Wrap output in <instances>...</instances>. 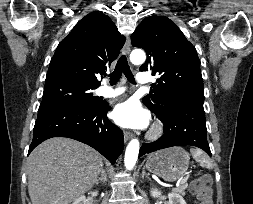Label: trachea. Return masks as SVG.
Segmentation results:
<instances>
[{
    "label": "trachea",
    "mask_w": 253,
    "mask_h": 204,
    "mask_svg": "<svg viewBox=\"0 0 253 204\" xmlns=\"http://www.w3.org/2000/svg\"><path fill=\"white\" fill-rule=\"evenodd\" d=\"M122 73L126 76V78L133 84H135L134 76L130 70L128 65V61L125 55H122L118 60L115 70L110 74V84L114 85L117 83Z\"/></svg>",
    "instance_id": "obj_1"
}]
</instances>
